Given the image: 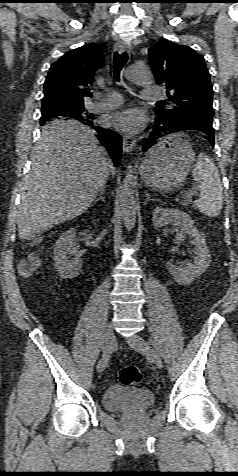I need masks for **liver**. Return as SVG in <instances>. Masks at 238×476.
<instances>
[{"mask_svg": "<svg viewBox=\"0 0 238 476\" xmlns=\"http://www.w3.org/2000/svg\"><path fill=\"white\" fill-rule=\"evenodd\" d=\"M115 168L95 131L75 120L42 128L22 183L17 225L21 240L84 213Z\"/></svg>", "mask_w": 238, "mask_h": 476, "instance_id": "6515ba94", "label": "liver"}]
</instances>
